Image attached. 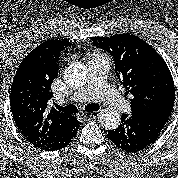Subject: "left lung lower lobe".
I'll return each mask as SVG.
<instances>
[{
	"label": "left lung lower lobe",
	"mask_w": 178,
	"mask_h": 178,
	"mask_svg": "<svg viewBox=\"0 0 178 178\" xmlns=\"http://www.w3.org/2000/svg\"><path fill=\"white\" fill-rule=\"evenodd\" d=\"M169 116L157 111L123 114L120 126L108 131V137L122 151L136 153L156 141Z\"/></svg>",
	"instance_id": "left-lung-lower-lobe-1"
}]
</instances>
